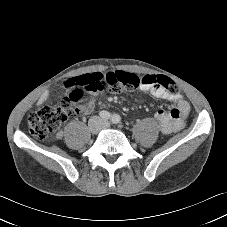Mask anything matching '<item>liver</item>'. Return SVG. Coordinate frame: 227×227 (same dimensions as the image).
<instances>
[{
  "instance_id": "obj_1",
  "label": "liver",
  "mask_w": 227,
  "mask_h": 227,
  "mask_svg": "<svg viewBox=\"0 0 227 227\" xmlns=\"http://www.w3.org/2000/svg\"><path fill=\"white\" fill-rule=\"evenodd\" d=\"M48 96H49V91L46 90V91L41 95L40 99L38 100L37 105H41L44 101H46L47 98H48Z\"/></svg>"
}]
</instances>
